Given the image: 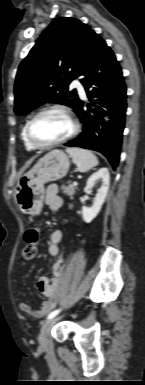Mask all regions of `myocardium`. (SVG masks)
Returning a JSON list of instances; mask_svg holds the SVG:
<instances>
[{"label":"myocardium","instance_id":"myocardium-1","mask_svg":"<svg viewBox=\"0 0 145 385\" xmlns=\"http://www.w3.org/2000/svg\"><path fill=\"white\" fill-rule=\"evenodd\" d=\"M48 112H59L62 115H64L71 124V130L65 137H63L59 140H56L52 143L38 144L32 139V135H31L32 125L38 117H40L42 114H45ZM79 129H80L79 122L76 119V117L74 116L73 112L68 107L63 106V105H51V106H47V107L40 109L35 115L32 116V118L28 121V123L26 125L25 137H26L28 144L33 149L46 150V149L56 147L60 144L67 142L68 140L72 139L78 133Z\"/></svg>","mask_w":145,"mask_h":385}]
</instances>
